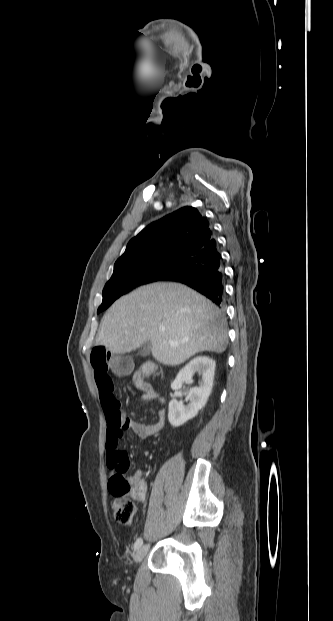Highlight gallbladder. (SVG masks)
<instances>
[{
	"label": "gallbladder",
	"mask_w": 333,
	"mask_h": 621,
	"mask_svg": "<svg viewBox=\"0 0 333 621\" xmlns=\"http://www.w3.org/2000/svg\"><path fill=\"white\" fill-rule=\"evenodd\" d=\"M151 353V343L149 341L143 343L138 350L139 356H148Z\"/></svg>",
	"instance_id": "bac80fb5"
}]
</instances>
